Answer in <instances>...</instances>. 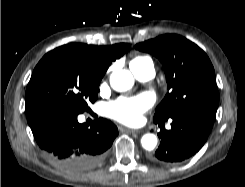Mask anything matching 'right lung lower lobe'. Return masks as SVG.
Returning <instances> with one entry per match:
<instances>
[{
	"label": "right lung lower lobe",
	"instance_id": "1",
	"mask_svg": "<svg viewBox=\"0 0 245 187\" xmlns=\"http://www.w3.org/2000/svg\"><path fill=\"white\" fill-rule=\"evenodd\" d=\"M79 114L69 109H51L28 118L39 147L71 172L97 167L118 135L117 127L110 121L99 118L90 125L80 124Z\"/></svg>",
	"mask_w": 245,
	"mask_h": 187
}]
</instances>
